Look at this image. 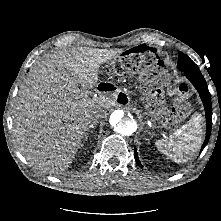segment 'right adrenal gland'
Wrapping results in <instances>:
<instances>
[{"label":"right adrenal gland","instance_id":"2a0ac1e0","mask_svg":"<svg viewBox=\"0 0 221 221\" xmlns=\"http://www.w3.org/2000/svg\"><path fill=\"white\" fill-rule=\"evenodd\" d=\"M95 125H96V123H94V124L91 125V129H90V130L86 133V135H85V140L88 139V135H89L90 133H93Z\"/></svg>","mask_w":221,"mask_h":221}]
</instances>
